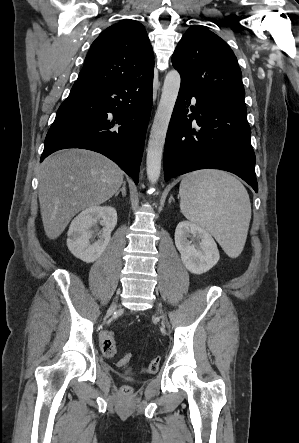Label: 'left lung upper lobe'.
Returning a JSON list of instances; mask_svg holds the SVG:
<instances>
[{
    "label": "left lung upper lobe",
    "mask_w": 299,
    "mask_h": 443,
    "mask_svg": "<svg viewBox=\"0 0 299 443\" xmlns=\"http://www.w3.org/2000/svg\"><path fill=\"white\" fill-rule=\"evenodd\" d=\"M172 64L181 82L228 105L246 109L237 58L228 44L206 27L194 25L186 31Z\"/></svg>",
    "instance_id": "obj_1"
}]
</instances>
